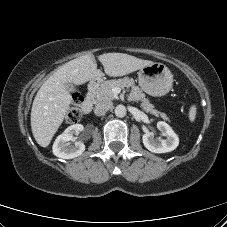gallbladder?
<instances>
[{
  "label": "gallbladder",
  "instance_id": "1",
  "mask_svg": "<svg viewBox=\"0 0 227 227\" xmlns=\"http://www.w3.org/2000/svg\"><path fill=\"white\" fill-rule=\"evenodd\" d=\"M65 86H66V89H67L69 92L74 91V86H73V84L67 83V84H65Z\"/></svg>",
  "mask_w": 227,
  "mask_h": 227
}]
</instances>
